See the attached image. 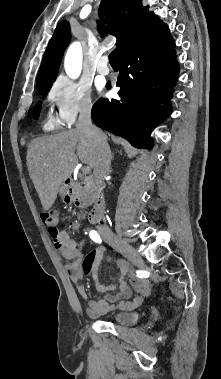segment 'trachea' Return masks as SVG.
Segmentation results:
<instances>
[{
    "label": "trachea",
    "mask_w": 221,
    "mask_h": 379,
    "mask_svg": "<svg viewBox=\"0 0 221 379\" xmlns=\"http://www.w3.org/2000/svg\"><path fill=\"white\" fill-rule=\"evenodd\" d=\"M109 63H110L111 65H117L116 50H113V51L109 54Z\"/></svg>",
    "instance_id": "3493384b"
}]
</instances>
